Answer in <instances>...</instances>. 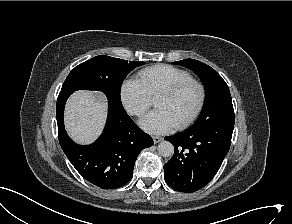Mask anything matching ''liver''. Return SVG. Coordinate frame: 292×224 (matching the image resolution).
Wrapping results in <instances>:
<instances>
[{
  "label": "liver",
  "mask_w": 292,
  "mask_h": 224,
  "mask_svg": "<svg viewBox=\"0 0 292 224\" xmlns=\"http://www.w3.org/2000/svg\"><path fill=\"white\" fill-rule=\"evenodd\" d=\"M105 98L89 91H77L67 101L65 126L80 144L93 142L101 133L106 118Z\"/></svg>",
  "instance_id": "obj_1"
}]
</instances>
